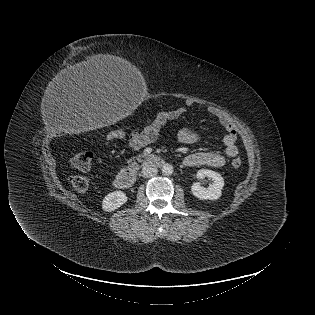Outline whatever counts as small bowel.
Segmentation results:
<instances>
[{
  "label": "small bowel",
  "instance_id": "c3829d8e",
  "mask_svg": "<svg viewBox=\"0 0 315 315\" xmlns=\"http://www.w3.org/2000/svg\"><path fill=\"white\" fill-rule=\"evenodd\" d=\"M192 101H187L186 106H192ZM187 111L186 107H178L174 110L159 112L153 118L147 120L142 126L134 129L128 139V147L137 151L145 146L156 142L159 139L161 130L166 126L167 122L178 119ZM207 112L218 119L220 124L225 128L226 133L223 137L225 144L224 154L220 151L196 152L187 155L183 163L188 167L210 166L222 167L226 163V156L233 158L238 155V147L236 145L237 131L230 117L221 109L209 106ZM177 139L181 143L190 144L199 139L196 131L191 129H181L177 133Z\"/></svg>",
  "mask_w": 315,
  "mask_h": 315
}]
</instances>
